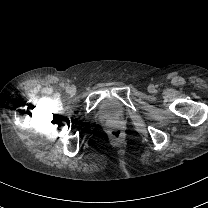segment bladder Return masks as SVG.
<instances>
[{
	"instance_id": "1",
	"label": "bladder",
	"mask_w": 208,
	"mask_h": 208,
	"mask_svg": "<svg viewBox=\"0 0 208 208\" xmlns=\"http://www.w3.org/2000/svg\"><path fill=\"white\" fill-rule=\"evenodd\" d=\"M111 104L112 105L110 107H112V108H116L117 107V103L115 101H113Z\"/></svg>"
}]
</instances>
